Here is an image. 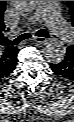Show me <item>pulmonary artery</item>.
I'll return each instance as SVG.
<instances>
[{"mask_svg":"<svg viewBox=\"0 0 74 122\" xmlns=\"http://www.w3.org/2000/svg\"><path fill=\"white\" fill-rule=\"evenodd\" d=\"M45 21L59 41L67 42L72 38V30L59 13L57 1H40L29 22Z\"/></svg>","mask_w":74,"mask_h":122,"instance_id":"pulmonary-artery-1","label":"pulmonary artery"}]
</instances>
